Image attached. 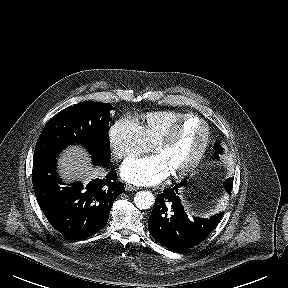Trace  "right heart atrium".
Listing matches in <instances>:
<instances>
[{
	"label": "right heart atrium",
	"instance_id": "1",
	"mask_svg": "<svg viewBox=\"0 0 288 288\" xmlns=\"http://www.w3.org/2000/svg\"><path fill=\"white\" fill-rule=\"evenodd\" d=\"M108 139L116 160L134 158L148 149L137 122L129 118L117 120L109 130Z\"/></svg>",
	"mask_w": 288,
	"mask_h": 288
}]
</instances>
